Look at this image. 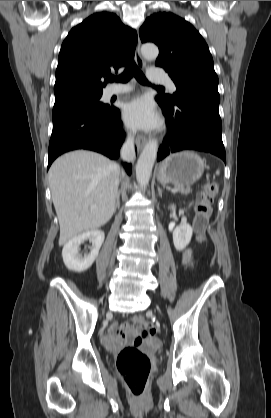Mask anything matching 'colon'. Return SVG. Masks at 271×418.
I'll list each match as a JSON object with an SVG mask.
<instances>
[{
  "instance_id": "obj_1",
  "label": "colon",
  "mask_w": 271,
  "mask_h": 418,
  "mask_svg": "<svg viewBox=\"0 0 271 418\" xmlns=\"http://www.w3.org/2000/svg\"><path fill=\"white\" fill-rule=\"evenodd\" d=\"M218 184L214 181H207L202 189L201 197L196 203V219L194 227L200 241L213 210V199L218 193ZM139 324L143 326L141 335L144 338L152 337L155 334V328L144 319H138ZM117 369L128 386L130 392L135 397L144 394L151 371V361L148 355L133 346H126L117 356Z\"/></svg>"
}]
</instances>
